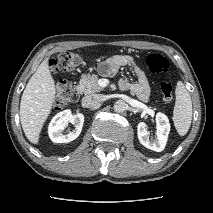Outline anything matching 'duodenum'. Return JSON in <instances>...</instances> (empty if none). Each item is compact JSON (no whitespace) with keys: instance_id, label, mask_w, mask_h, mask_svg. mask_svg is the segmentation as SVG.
Returning a JSON list of instances; mask_svg holds the SVG:
<instances>
[{"instance_id":"obj_1","label":"duodenum","mask_w":213,"mask_h":213,"mask_svg":"<svg viewBox=\"0 0 213 213\" xmlns=\"http://www.w3.org/2000/svg\"><path fill=\"white\" fill-rule=\"evenodd\" d=\"M77 91H78V93H80V89H78Z\"/></svg>"}]
</instances>
